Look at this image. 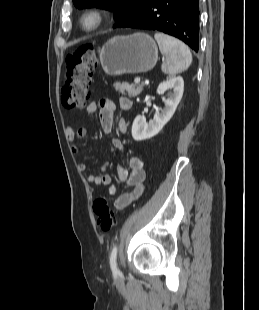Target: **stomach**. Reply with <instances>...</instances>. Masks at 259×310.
Returning a JSON list of instances; mask_svg holds the SVG:
<instances>
[{"mask_svg":"<svg viewBox=\"0 0 259 310\" xmlns=\"http://www.w3.org/2000/svg\"><path fill=\"white\" fill-rule=\"evenodd\" d=\"M100 62L110 76L135 74L151 70L158 60V48L147 34L115 36L100 50Z\"/></svg>","mask_w":259,"mask_h":310,"instance_id":"stomach-1","label":"stomach"}]
</instances>
